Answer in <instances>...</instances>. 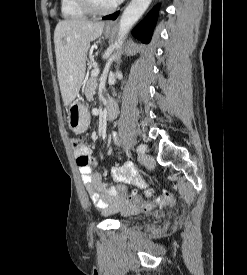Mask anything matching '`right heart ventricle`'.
<instances>
[{
	"mask_svg": "<svg viewBox=\"0 0 247 275\" xmlns=\"http://www.w3.org/2000/svg\"><path fill=\"white\" fill-rule=\"evenodd\" d=\"M60 7L62 15L67 19H81L88 15L76 0H60Z\"/></svg>",
	"mask_w": 247,
	"mask_h": 275,
	"instance_id": "1",
	"label": "right heart ventricle"
}]
</instances>
